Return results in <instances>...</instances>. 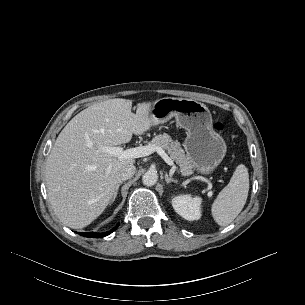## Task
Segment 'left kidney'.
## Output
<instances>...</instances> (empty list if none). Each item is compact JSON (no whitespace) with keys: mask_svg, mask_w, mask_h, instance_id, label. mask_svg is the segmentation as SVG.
Wrapping results in <instances>:
<instances>
[{"mask_svg":"<svg viewBox=\"0 0 305 305\" xmlns=\"http://www.w3.org/2000/svg\"><path fill=\"white\" fill-rule=\"evenodd\" d=\"M201 203L200 197H191V195H178L172 199L174 210L188 221L200 219Z\"/></svg>","mask_w":305,"mask_h":305,"instance_id":"1","label":"left kidney"}]
</instances>
